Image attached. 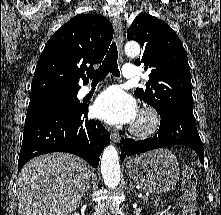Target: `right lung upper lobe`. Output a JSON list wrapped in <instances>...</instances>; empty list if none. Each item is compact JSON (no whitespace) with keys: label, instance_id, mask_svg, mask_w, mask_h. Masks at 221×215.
<instances>
[{"label":"right lung upper lobe","instance_id":"obj_1","mask_svg":"<svg viewBox=\"0 0 221 215\" xmlns=\"http://www.w3.org/2000/svg\"><path fill=\"white\" fill-rule=\"evenodd\" d=\"M113 27L104 17L79 14L47 42L37 62L30 101L51 95L78 93L85 70L105 56Z\"/></svg>","mask_w":221,"mask_h":215}]
</instances>
